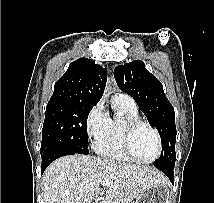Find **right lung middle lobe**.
Instances as JSON below:
<instances>
[{"label":"right lung middle lobe","mask_w":214,"mask_h":203,"mask_svg":"<svg viewBox=\"0 0 214 203\" xmlns=\"http://www.w3.org/2000/svg\"><path fill=\"white\" fill-rule=\"evenodd\" d=\"M94 105L49 101L42 129L41 157L57 151L89 154L87 118Z\"/></svg>","instance_id":"1"}]
</instances>
